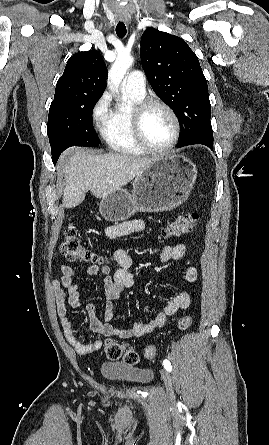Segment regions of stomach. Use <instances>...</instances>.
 I'll list each match as a JSON object with an SVG mask.
<instances>
[{"label": "stomach", "instance_id": "obj_1", "mask_svg": "<svg viewBox=\"0 0 269 445\" xmlns=\"http://www.w3.org/2000/svg\"><path fill=\"white\" fill-rule=\"evenodd\" d=\"M178 155L156 159L133 181L132 194L119 189L102 198L99 211L111 222L125 221L137 212H165L177 208L189 197L197 170Z\"/></svg>", "mask_w": 269, "mask_h": 445}]
</instances>
